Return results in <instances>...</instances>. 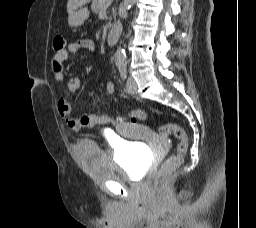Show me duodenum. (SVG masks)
I'll use <instances>...</instances> for the list:
<instances>
[{
	"label": "duodenum",
	"mask_w": 256,
	"mask_h": 228,
	"mask_svg": "<svg viewBox=\"0 0 256 228\" xmlns=\"http://www.w3.org/2000/svg\"><path fill=\"white\" fill-rule=\"evenodd\" d=\"M122 33V28L120 25H115L107 34L106 42L108 45L112 46L117 43Z\"/></svg>",
	"instance_id": "obj_1"
}]
</instances>
